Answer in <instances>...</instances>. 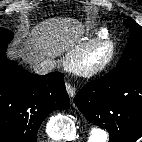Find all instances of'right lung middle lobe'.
Segmentation results:
<instances>
[{"label": "right lung middle lobe", "instance_id": "right-lung-middle-lobe-1", "mask_svg": "<svg viewBox=\"0 0 142 142\" xmlns=\"http://www.w3.org/2000/svg\"><path fill=\"white\" fill-rule=\"evenodd\" d=\"M13 38V33L4 28H0V55L4 54L7 44Z\"/></svg>", "mask_w": 142, "mask_h": 142}]
</instances>
